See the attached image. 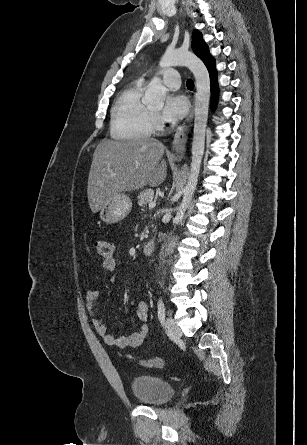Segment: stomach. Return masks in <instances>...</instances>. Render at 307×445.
<instances>
[{"label":"stomach","mask_w":307,"mask_h":445,"mask_svg":"<svg viewBox=\"0 0 307 445\" xmlns=\"http://www.w3.org/2000/svg\"><path fill=\"white\" fill-rule=\"evenodd\" d=\"M132 208V200L128 194L118 192L111 198H107L106 204L100 208L99 216L106 225L119 223V220L125 218Z\"/></svg>","instance_id":"stomach-1"}]
</instances>
